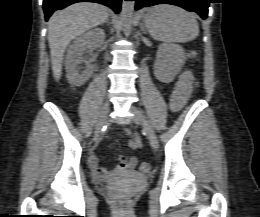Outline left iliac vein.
I'll return each mask as SVG.
<instances>
[{
	"label": "left iliac vein",
	"mask_w": 260,
	"mask_h": 217,
	"mask_svg": "<svg viewBox=\"0 0 260 217\" xmlns=\"http://www.w3.org/2000/svg\"><path fill=\"white\" fill-rule=\"evenodd\" d=\"M130 110L134 115L133 117L134 122L141 125L144 128L151 146L154 149H157L159 146V142L151 123L144 116L143 112L138 108L131 106Z\"/></svg>",
	"instance_id": "left-iliac-vein-1"
}]
</instances>
